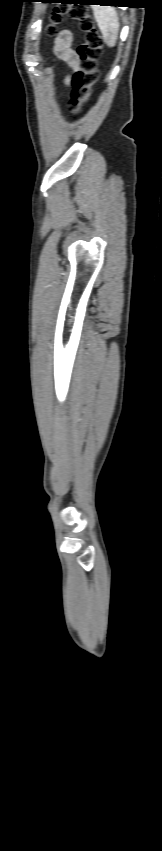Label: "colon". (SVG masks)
Returning a JSON list of instances; mask_svg holds the SVG:
<instances>
[{"instance_id": "obj_1", "label": "colon", "mask_w": 162, "mask_h": 851, "mask_svg": "<svg viewBox=\"0 0 162 851\" xmlns=\"http://www.w3.org/2000/svg\"><path fill=\"white\" fill-rule=\"evenodd\" d=\"M65 14L77 21L79 29L83 33V39L76 47L80 69L73 79L70 101L72 113L79 114L82 107L89 101L92 88L98 79L97 63L102 54L104 42L92 15L88 13L85 7L79 5L56 7L51 12L49 24L46 28L48 35L56 33L57 26L61 23Z\"/></svg>"}]
</instances>
